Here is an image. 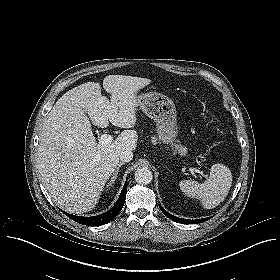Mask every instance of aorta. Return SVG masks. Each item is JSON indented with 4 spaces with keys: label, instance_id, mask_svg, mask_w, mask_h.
Masks as SVG:
<instances>
[{
    "label": "aorta",
    "instance_id": "aorta-1",
    "mask_svg": "<svg viewBox=\"0 0 280 280\" xmlns=\"http://www.w3.org/2000/svg\"><path fill=\"white\" fill-rule=\"evenodd\" d=\"M134 177L135 181L142 185L149 184L153 179L152 172L147 167L138 168L134 174Z\"/></svg>",
    "mask_w": 280,
    "mask_h": 280
}]
</instances>
